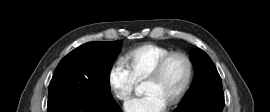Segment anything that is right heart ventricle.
I'll return each mask as SVG.
<instances>
[{
    "label": "right heart ventricle",
    "mask_w": 270,
    "mask_h": 112,
    "mask_svg": "<svg viewBox=\"0 0 270 112\" xmlns=\"http://www.w3.org/2000/svg\"><path fill=\"white\" fill-rule=\"evenodd\" d=\"M170 52L169 48L161 45L145 44L128 52L124 61L136 81H143L159 60Z\"/></svg>",
    "instance_id": "right-heart-ventricle-1"
}]
</instances>
